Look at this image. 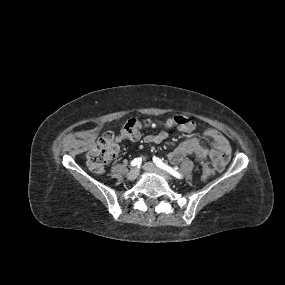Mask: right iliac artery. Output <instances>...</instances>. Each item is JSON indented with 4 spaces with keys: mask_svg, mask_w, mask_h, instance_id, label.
I'll return each instance as SVG.
<instances>
[{
    "mask_svg": "<svg viewBox=\"0 0 285 285\" xmlns=\"http://www.w3.org/2000/svg\"><path fill=\"white\" fill-rule=\"evenodd\" d=\"M142 162L141 158H135L134 160L131 161V166H137L140 165Z\"/></svg>",
    "mask_w": 285,
    "mask_h": 285,
    "instance_id": "obj_1",
    "label": "right iliac artery"
}]
</instances>
